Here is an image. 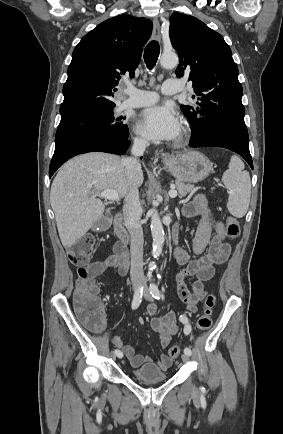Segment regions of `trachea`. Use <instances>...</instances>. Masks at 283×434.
<instances>
[{"instance_id":"obj_1","label":"trachea","mask_w":283,"mask_h":434,"mask_svg":"<svg viewBox=\"0 0 283 434\" xmlns=\"http://www.w3.org/2000/svg\"><path fill=\"white\" fill-rule=\"evenodd\" d=\"M160 53L159 43L150 41L144 50V61L149 70H152L157 63Z\"/></svg>"}]
</instances>
